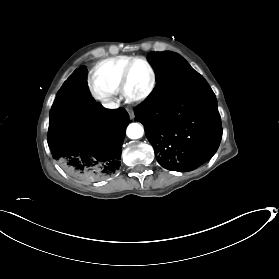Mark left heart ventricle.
I'll return each mask as SVG.
<instances>
[{
	"instance_id": "obj_1",
	"label": "left heart ventricle",
	"mask_w": 279,
	"mask_h": 279,
	"mask_svg": "<svg viewBox=\"0 0 279 279\" xmlns=\"http://www.w3.org/2000/svg\"><path fill=\"white\" fill-rule=\"evenodd\" d=\"M150 81L151 75L147 66L142 62H135L128 77V91L130 94H142L149 87Z\"/></svg>"
}]
</instances>
